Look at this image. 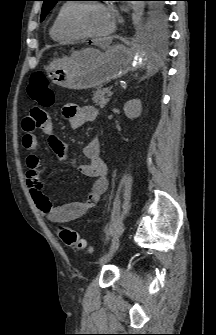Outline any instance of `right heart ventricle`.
<instances>
[{"instance_id": "obj_1", "label": "right heart ventricle", "mask_w": 216, "mask_h": 335, "mask_svg": "<svg viewBox=\"0 0 216 335\" xmlns=\"http://www.w3.org/2000/svg\"><path fill=\"white\" fill-rule=\"evenodd\" d=\"M73 6V3L65 2L63 3L57 10L50 30L49 34L51 38L59 43H71L78 40L80 37L70 33L65 26V19L70 10Z\"/></svg>"}]
</instances>
